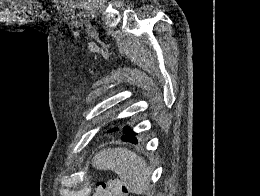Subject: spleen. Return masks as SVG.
I'll use <instances>...</instances> for the list:
<instances>
[{
	"label": "spleen",
	"mask_w": 260,
	"mask_h": 196,
	"mask_svg": "<svg viewBox=\"0 0 260 196\" xmlns=\"http://www.w3.org/2000/svg\"><path fill=\"white\" fill-rule=\"evenodd\" d=\"M92 166L96 170L115 172L128 192H132V194H143L145 190H149L152 172L145 160L128 148L102 150L94 156Z\"/></svg>",
	"instance_id": "spleen-1"
}]
</instances>
